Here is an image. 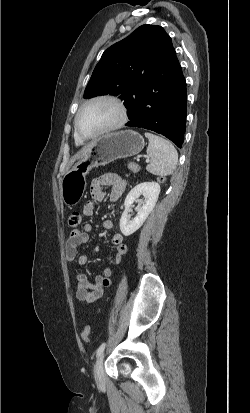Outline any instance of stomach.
I'll return each mask as SVG.
<instances>
[{"mask_svg":"<svg viewBox=\"0 0 250 413\" xmlns=\"http://www.w3.org/2000/svg\"><path fill=\"white\" fill-rule=\"evenodd\" d=\"M92 143L90 151L61 180V198L68 207L81 200L87 185L86 176L92 168L137 155L144 148L143 137L133 130L108 133Z\"/></svg>","mask_w":250,"mask_h":413,"instance_id":"1","label":"stomach"}]
</instances>
